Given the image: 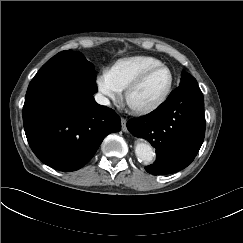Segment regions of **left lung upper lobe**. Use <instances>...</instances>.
Instances as JSON below:
<instances>
[{"instance_id": "left-lung-upper-lobe-1", "label": "left lung upper lobe", "mask_w": 243, "mask_h": 243, "mask_svg": "<svg viewBox=\"0 0 243 243\" xmlns=\"http://www.w3.org/2000/svg\"><path fill=\"white\" fill-rule=\"evenodd\" d=\"M192 83H197L196 79L193 76H191L189 73L184 72L181 78L180 85L192 84Z\"/></svg>"}]
</instances>
